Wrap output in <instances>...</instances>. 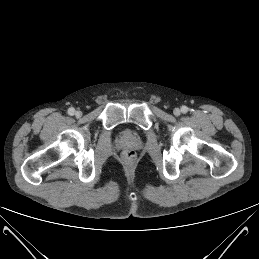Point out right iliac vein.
Returning a JSON list of instances; mask_svg holds the SVG:
<instances>
[{
	"mask_svg": "<svg viewBox=\"0 0 259 259\" xmlns=\"http://www.w3.org/2000/svg\"><path fill=\"white\" fill-rule=\"evenodd\" d=\"M75 116L77 118L81 117L82 116V112L81 111H76Z\"/></svg>",
	"mask_w": 259,
	"mask_h": 259,
	"instance_id": "obj_1",
	"label": "right iliac vein"
}]
</instances>
